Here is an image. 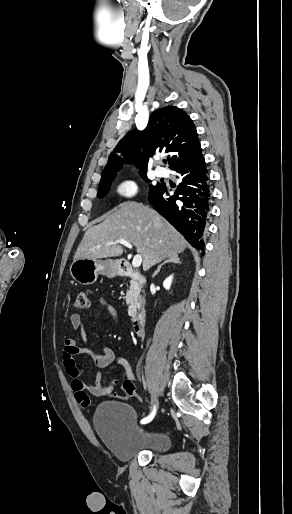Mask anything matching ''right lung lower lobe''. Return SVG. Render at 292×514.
Returning <instances> with one entry per match:
<instances>
[{
	"label": "right lung lower lobe",
	"mask_w": 292,
	"mask_h": 514,
	"mask_svg": "<svg viewBox=\"0 0 292 514\" xmlns=\"http://www.w3.org/2000/svg\"><path fill=\"white\" fill-rule=\"evenodd\" d=\"M182 182L170 195L165 183L149 191L151 205L166 218L196 249L204 248V230L210 211V181L204 157L180 164L172 169ZM204 251L202 252V255Z\"/></svg>",
	"instance_id": "98d812e1"
}]
</instances>
